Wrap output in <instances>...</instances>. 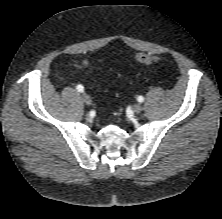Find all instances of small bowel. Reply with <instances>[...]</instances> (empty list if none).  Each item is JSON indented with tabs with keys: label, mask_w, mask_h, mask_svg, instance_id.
<instances>
[{
	"label": "small bowel",
	"mask_w": 222,
	"mask_h": 219,
	"mask_svg": "<svg viewBox=\"0 0 222 219\" xmlns=\"http://www.w3.org/2000/svg\"><path fill=\"white\" fill-rule=\"evenodd\" d=\"M74 67L77 69L87 68L89 67V63L87 61H82V62L74 64Z\"/></svg>",
	"instance_id": "1"
}]
</instances>
